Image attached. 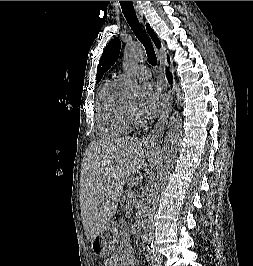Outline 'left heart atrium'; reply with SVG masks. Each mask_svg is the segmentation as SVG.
<instances>
[{
  "mask_svg": "<svg viewBox=\"0 0 253 266\" xmlns=\"http://www.w3.org/2000/svg\"><path fill=\"white\" fill-rule=\"evenodd\" d=\"M141 109L149 116L157 115L166 105L167 95L163 87L154 82L143 86Z\"/></svg>",
  "mask_w": 253,
  "mask_h": 266,
  "instance_id": "1",
  "label": "left heart atrium"
}]
</instances>
